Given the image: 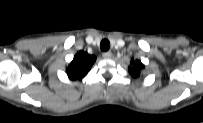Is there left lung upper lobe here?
<instances>
[{"label": "left lung upper lobe", "instance_id": "5c2ea615", "mask_svg": "<svg viewBox=\"0 0 203 123\" xmlns=\"http://www.w3.org/2000/svg\"><path fill=\"white\" fill-rule=\"evenodd\" d=\"M144 68V65L139 61L131 60V66H129V73L132 77L137 78L141 74V70Z\"/></svg>", "mask_w": 203, "mask_h": 123}]
</instances>
